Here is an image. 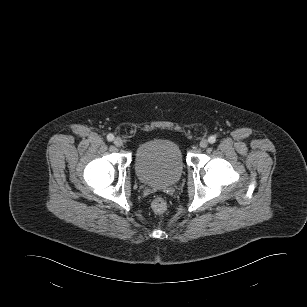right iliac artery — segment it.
<instances>
[{
  "mask_svg": "<svg viewBox=\"0 0 307 307\" xmlns=\"http://www.w3.org/2000/svg\"><path fill=\"white\" fill-rule=\"evenodd\" d=\"M107 140L108 141H113L114 140V135L113 134H108L107 135Z\"/></svg>",
  "mask_w": 307,
  "mask_h": 307,
  "instance_id": "right-iliac-artery-1",
  "label": "right iliac artery"
}]
</instances>
